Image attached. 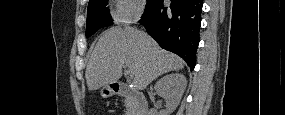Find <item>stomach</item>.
<instances>
[{
	"label": "stomach",
	"mask_w": 285,
	"mask_h": 115,
	"mask_svg": "<svg viewBox=\"0 0 285 115\" xmlns=\"http://www.w3.org/2000/svg\"><path fill=\"white\" fill-rule=\"evenodd\" d=\"M113 94H114V91H113V89H112L109 85H106V86H104V87L101 89V96H102L103 98H109V97H111Z\"/></svg>",
	"instance_id": "0dacf381"
}]
</instances>
